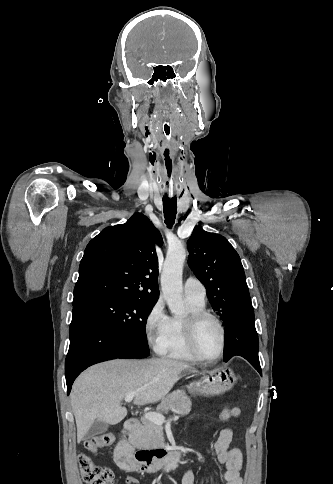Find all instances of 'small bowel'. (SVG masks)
<instances>
[{
  "instance_id": "obj_1",
  "label": "small bowel",
  "mask_w": 333,
  "mask_h": 484,
  "mask_svg": "<svg viewBox=\"0 0 333 484\" xmlns=\"http://www.w3.org/2000/svg\"><path fill=\"white\" fill-rule=\"evenodd\" d=\"M241 416V409L239 407H232L230 418H239ZM227 419V420H228ZM233 440V433L230 429H222L215 438L213 444L214 454L220 464L225 467L224 484H243L241 477L242 468V452L239 448H230ZM127 484H140L135 478L127 477ZM182 484H194V473L188 469L182 477Z\"/></svg>"
}]
</instances>
